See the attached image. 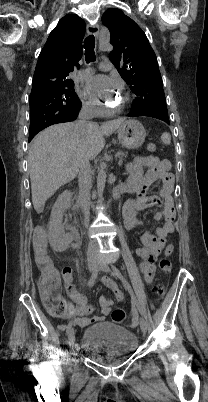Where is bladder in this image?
Returning a JSON list of instances; mask_svg holds the SVG:
<instances>
[{
  "mask_svg": "<svg viewBox=\"0 0 208 402\" xmlns=\"http://www.w3.org/2000/svg\"><path fill=\"white\" fill-rule=\"evenodd\" d=\"M81 343L95 361L115 365L135 351L138 341L134 331L113 323H96L84 330Z\"/></svg>",
  "mask_w": 208,
  "mask_h": 402,
  "instance_id": "1",
  "label": "bladder"
}]
</instances>
